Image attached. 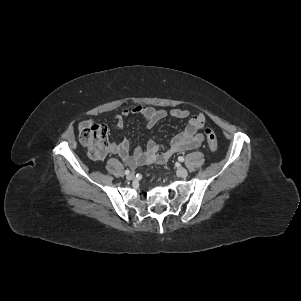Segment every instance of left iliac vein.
Listing matches in <instances>:
<instances>
[{"label": "left iliac vein", "mask_w": 301, "mask_h": 301, "mask_svg": "<svg viewBox=\"0 0 301 301\" xmlns=\"http://www.w3.org/2000/svg\"><path fill=\"white\" fill-rule=\"evenodd\" d=\"M177 175L179 177H187L188 171L185 168H183V167H178V169H177Z\"/></svg>", "instance_id": "4c4485c4"}]
</instances>
